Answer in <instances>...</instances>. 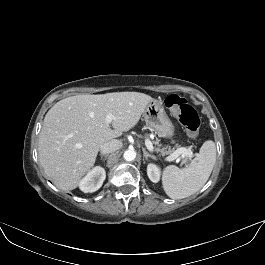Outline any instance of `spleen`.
<instances>
[{
  "instance_id": "spleen-1",
  "label": "spleen",
  "mask_w": 265,
  "mask_h": 265,
  "mask_svg": "<svg viewBox=\"0 0 265 265\" xmlns=\"http://www.w3.org/2000/svg\"><path fill=\"white\" fill-rule=\"evenodd\" d=\"M215 162V143L207 140L186 168L169 165L164 169L162 185L165 193L172 199H183L196 193L207 182Z\"/></svg>"
}]
</instances>
